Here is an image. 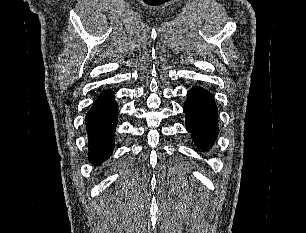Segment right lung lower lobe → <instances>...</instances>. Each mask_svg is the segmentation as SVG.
<instances>
[{
  "instance_id": "98d812e1",
  "label": "right lung lower lobe",
  "mask_w": 306,
  "mask_h": 233,
  "mask_svg": "<svg viewBox=\"0 0 306 233\" xmlns=\"http://www.w3.org/2000/svg\"><path fill=\"white\" fill-rule=\"evenodd\" d=\"M88 133V158L93 164H100L109 158L114 148V135L118 121V107L114 93L103 91L86 114Z\"/></svg>"
}]
</instances>
